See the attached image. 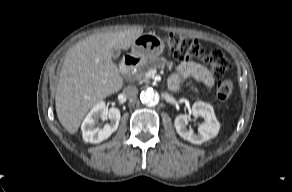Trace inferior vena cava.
Segmentation results:
<instances>
[{"instance_id":"602c4592","label":"inferior vena cava","mask_w":292,"mask_h":192,"mask_svg":"<svg viewBox=\"0 0 292 192\" xmlns=\"http://www.w3.org/2000/svg\"><path fill=\"white\" fill-rule=\"evenodd\" d=\"M137 94H138V89L134 86H127L123 90V95L127 99H130V100L135 99Z\"/></svg>"}]
</instances>
